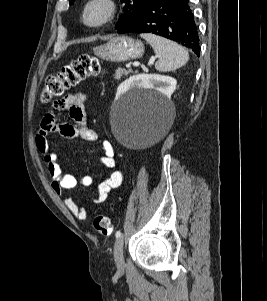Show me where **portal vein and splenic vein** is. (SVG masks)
I'll list each match as a JSON object with an SVG mask.
<instances>
[{"mask_svg":"<svg viewBox=\"0 0 267 301\" xmlns=\"http://www.w3.org/2000/svg\"><path fill=\"white\" fill-rule=\"evenodd\" d=\"M156 57H153L149 60V64H152L155 61ZM136 66H138L139 64H135ZM126 67H131V64H127Z\"/></svg>","mask_w":267,"mask_h":301,"instance_id":"18ae733b","label":"portal vein and splenic vein"}]
</instances>
